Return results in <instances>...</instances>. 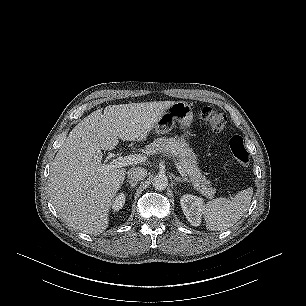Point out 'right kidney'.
Instances as JSON below:
<instances>
[{
	"label": "right kidney",
	"instance_id": "right-kidney-1",
	"mask_svg": "<svg viewBox=\"0 0 306 306\" xmlns=\"http://www.w3.org/2000/svg\"><path fill=\"white\" fill-rule=\"evenodd\" d=\"M125 194L124 193H120L118 194L115 199L112 201L111 204V208L112 210L115 211H119L120 209H122V207L125 204Z\"/></svg>",
	"mask_w": 306,
	"mask_h": 306
}]
</instances>
